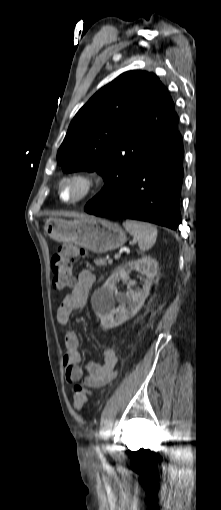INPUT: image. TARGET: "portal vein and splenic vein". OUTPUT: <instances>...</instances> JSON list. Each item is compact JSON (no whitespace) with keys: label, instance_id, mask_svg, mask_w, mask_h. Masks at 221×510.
<instances>
[{"label":"portal vein and splenic vein","instance_id":"obj_1","mask_svg":"<svg viewBox=\"0 0 221 510\" xmlns=\"http://www.w3.org/2000/svg\"><path fill=\"white\" fill-rule=\"evenodd\" d=\"M117 258H119V255H115V259H117ZM112 262H113V260H112V259H110V260H109V263H112Z\"/></svg>","mask_w":221,"mask_h":510}]
</instances>
